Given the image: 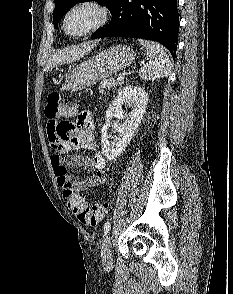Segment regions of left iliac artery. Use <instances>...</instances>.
Here are the masks:
<instances>
[{"mask_svg":"<svg viewBox=\"0 0 233 294\" xmlns=\"http://www.w3.org/2000/svg\"><path fill=\"white\" fill-rule=\"evenodd\" d=\"M110 229H111V224H110V222L108 221V222H106V223L104 224V232H105V235L109 233Z\"/></svg>","mask_w":233,"mask_h":294,"instance_id":"44dca946","label":"left iliac artery"}]
</instances>
